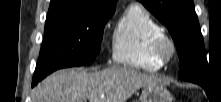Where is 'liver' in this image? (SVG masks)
<instances>
[{"label":"liver","mask_w":221,"mask_h":102,"mask_svg":"<svg viewBox=\"0 0 221 102\" xmlns=\"http://www.w3.org/2000/svg\"><path fill=\"white\" fill-rule=\"evenodd\" d=\"M162 82L129 67L93 73L73 68L46 77L35 88L34 96L35 102H126L138 89Z\"/></svg>","instance_id":"6515ba94"}]
</instances>
